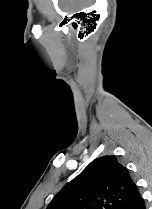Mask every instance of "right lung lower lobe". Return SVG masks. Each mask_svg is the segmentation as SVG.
I'll return each mask as SVG.
<instances>
[{"label": "right lung lower lobe", "instance_id": "right-lung-lower-lobe-1", "mask_svg": "<svg viewBox=\"0 0 152 209\" xmlns=\"http://www.w3.org/2000/svg\"><path fill=\"white\" fill-rule=\"evenodd\" d=\"M122 209H146L144 199L139 191H137L131 200L122 207Z\"/></svg>", "mask_w": 152, "mask_h": 209}]
</instances>
